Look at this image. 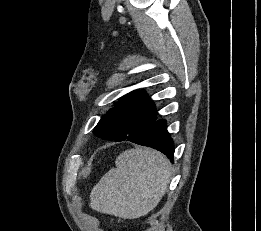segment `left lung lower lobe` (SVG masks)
<instances>
[{
	"label": "left lung lower lobe",
	"mask_w": 261,
	"mask_h": 231,
	"mask_svg": "<svg viewBox=\"0 0 261 231\" xmlns=\"http://www.w3.org/2000/svg\"><path fill=\"white\" fill-rule=\"evenodd\" d=\"M131 141L139 145L148 146L164 153L170 160L174 157L173 140L167 131L166 121L157 119L141 138H119L115 141Z\"/></svg>",
	"instance_id": "1"
}]
</instances>
